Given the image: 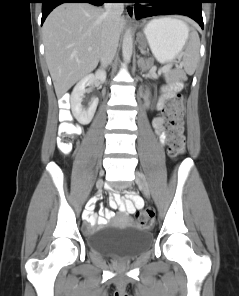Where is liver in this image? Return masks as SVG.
<instances>
[{
	"instance_id": "6515ba94",
	"label": "liver",
	"mask_w": 239,
	"mask_h": 296,
	"mask_svg": "<svg viewBox=\"0 0 239 296\" xmlns=\"http://www.w3.org/2000/svg\"><path fill=\"white\" fill-rule=\"evenodd\" d=\"M104 12L89 3H65L45 20L42 29L45 57L58 98L97 67L106 23ZM125 24L121 17L119 33Z\"/></svg>"
}]
</instances>
